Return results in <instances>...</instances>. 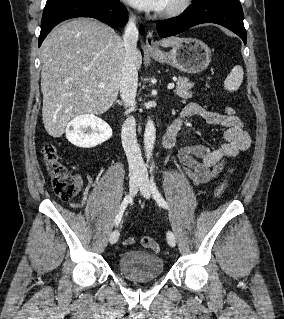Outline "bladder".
Segmentation results:
<instances>
[{"mask_svg":"<svg viewBox=\"0 0 284 319\" xmlns=\"http://www.w3.org/2000/svg\"><path fill=\"white\" fill-rule=\"evenodd\" d=\"M120 272L133 282H150L157 279L164 269L160 256L142 250H128L118 260Z\"/></svg>","mask_w":284,"mask_h":319,"instance_id":"1","label":"bladder"}]
</instances>
